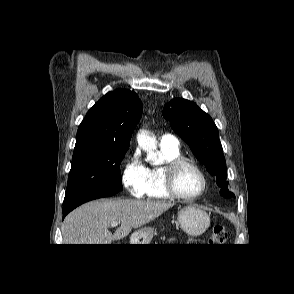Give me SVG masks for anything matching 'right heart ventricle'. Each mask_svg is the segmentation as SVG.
Returning <instances> with one entry per match:
<instances>
[{
  "label": "right heart ventricle",
  "instance_id": "right-heart-ventricle-1",
  "mask_svg": "<svg viewBox=\"0 0 294 294\" xmlns=\"http://www.w3.org/2000/svg\"><path fill=\"white\" fill-rule=\"evenodd\" d=\"M163 164L146 168V196L149 199L166 201L172 199L165 189V167L171 160L181 157L179 148L160 146Z\"/></svg>",
  "mask_w": 294,
  "mask_h": 294
}]
</instances>
